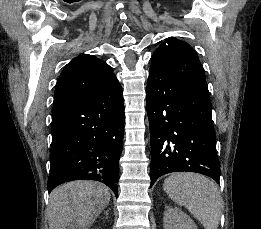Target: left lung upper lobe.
<instances>
[{
  "mask_svg": "<svg viewBox=\"0 0 261 229\" xmlns=\"http://www.w3.org/2000/svg\"><path fill=\"white\" fill-rule=\"evenodd\" d=\"M151 69L170 75L205 80L204 69L196 51L186 42L167 38L153 53Z\"/></svg>",
  "mask_w": 261,
  "mask_h": 229,
  "instance_id": "left-lung-upper-lobe-1",
  "label": "left lung upper lobe"
}]
</instances>
